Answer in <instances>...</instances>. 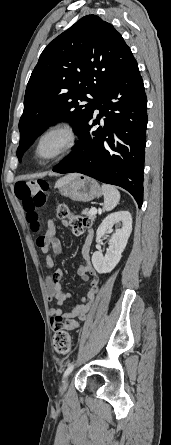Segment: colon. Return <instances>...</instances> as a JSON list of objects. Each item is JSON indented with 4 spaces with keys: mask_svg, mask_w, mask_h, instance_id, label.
Masks as SVG:
<instances>
[{
    "mask_svg": "<svg viewBox=\"0 0 171 445\" xmlns=\"http://www.w3.org/2000/svg\"><path fill=\"white\" fill-rule=\"evenodd\" d=\"M48 183L42 180L18 182L15 185V193L27 213L30 222H36L37 210L45 204ZM57 216L65 225L69 226L75 235H81L89 225V219L85 216L72 214L65 204H61L57 210ZM54 349L58 354H66L70 350V336L62 327L55 331L53 338Z\"/></svg>",
    "mask_w": 171,
    "mask_h": 445,
    "instance_id": "1",
    "label": "colon"
}]
</instances>
